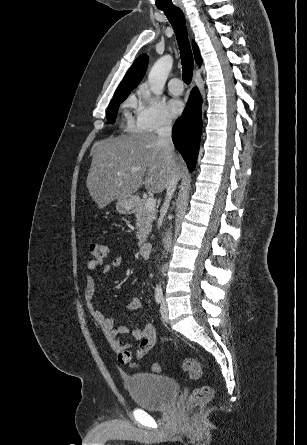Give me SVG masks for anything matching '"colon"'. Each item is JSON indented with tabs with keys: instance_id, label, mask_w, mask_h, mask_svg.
<instances>
[{
	"instance_id": "5ec220e1",
	"label": "colon",
	"mask_w": 307,
	"mask_h": 445,
	"mask_svg": "<svg viewBox=\"0 0 307 445\" xmlns=\"http://www.w3.org/2000/svg\"><path fill=\"white\" fill-rule=\"evenodd\" d=\"M90 252L94 260L99 264L107 259L111 253V247L107 243H92L89 246ZM183 370L187 372L193 379H200L203 377V371L195 358H186L182 364ZM153 371L159 372L160 365L154 363ZM213 396V389L208 384H203L194 389L188 400V408L198 409L207 405Z\"/></svg>"
}]
</instances>
